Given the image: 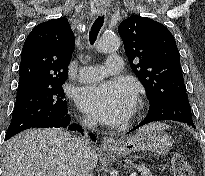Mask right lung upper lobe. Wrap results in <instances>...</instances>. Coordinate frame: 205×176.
<instances>
[{"label": "right lung upper lobe", "mask_w": 205, "mask_h": 176, "mask_svg": "<svg viewBox=\"0 0 205 176\" xmlns=\"http://www.w3.org/2000/svg\"><path fill=\"white\" fill-rule=\"evenodd\" d=\"M74 43L66 18L52 19L34 27L22 49L17 94L62 85L67 79Z\"/></svg>", "instance_id": "1"}]
</instances>
